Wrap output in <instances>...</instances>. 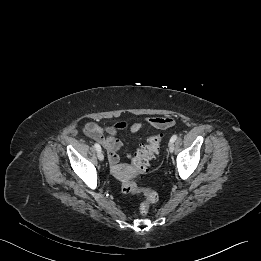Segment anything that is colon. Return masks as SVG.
<instances>
[{"instance_id": "1", "label": "colon", "mask_w": 261, "mask_h": 261, "mask_svg": "<svg viewBox=\"0 0 261 261\" xmlns=\"http://www.w3.org/2000/svg\"><path fill=\"white\" fill-rule=\"evenodd\" d=\"M161 135H154L148 138L147 144L140 148L132 159V166L129 169L130 177L125 178L121 184V190L126 195H142L143 201L140 205V212L146 215L150 207L157 201L158 195L150 187H141L136 184L134 177L138 174L145 173L149 163L159 152ZM114 173L122 175V169L115 168Z\"/></svg>"}]
</instances>
